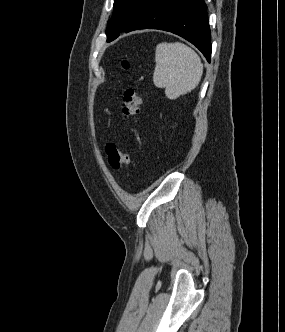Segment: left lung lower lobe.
<instances>
[{"instance_id": "0a47b994", "label": "left lung lower lobe", "mask_w": 285, "mask_h": 332, "mask_svg": "<svg viewBox=\"0 0 285 332\" xmlns=\"http://www.w3.org/2000/svg\"><path fill=\"white\" fill-rule=\"evenodd\" d=\"M206 10L204 0H152L122 32L137 29L172 32L194 44L210 62L211 41Z\"/></svg>"}]
</instances>
